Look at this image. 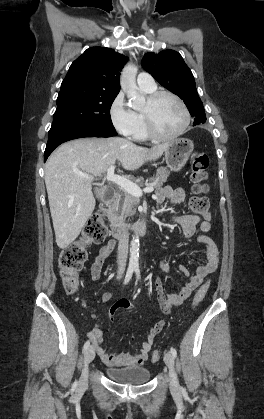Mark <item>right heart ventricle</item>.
<instances>
[{"label":"right heart ventricle","mask_w":264,"mask_h":419,"mask_svg":"<svg viewBox=\"0 0 264 419\" xmlns=\"http://www.w3.org/2000/svg\"><path fill=\"white\" fill-rule=\"evenodd\" d=\"M156 88L154 89H142V92H144L145 94H151L152 92L155 91ZM135 116H136V128L135 131L133 133V137L136 140H140V141H144L149 139V135L147 132V128H146V122H145V118L143 115V111L142 110H136L134 111Z\"/></svg>","instance_id":"e07e8e85"}]
</instances>
